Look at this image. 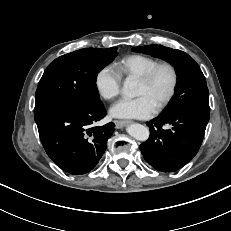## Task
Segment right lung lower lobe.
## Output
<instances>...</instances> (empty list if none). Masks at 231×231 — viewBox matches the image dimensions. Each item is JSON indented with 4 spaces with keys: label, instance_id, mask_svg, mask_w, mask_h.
Here are the masks:
<instances>
[{
    "label": "right lung lower lobe",
    "instance_id": "obj_1",
    "mask_svg": "<svg viewBox=\"0 0 231 231\" xmlns=\"http://www.w3.org/2000/svg\"><path fill=\"white\" fill-rule=\"evenodd\" d=\"M105 115L101 104L56 106L36 113L34 118L47 155L62 170L79 175L93 169L106 150L115 124L95 126Z\"/></svg>",
    "mask_w": 231,
    "mask_h": 231
}]
</instances>
